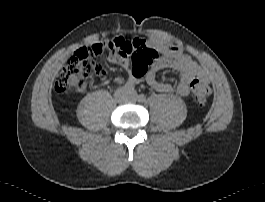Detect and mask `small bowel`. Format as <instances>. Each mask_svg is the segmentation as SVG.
<instances>
[{"label":"small bowel","instance_id":"obj_1","mask_svg":"<svg viewBox=\"0 0 265 202\" xmlns=\"http://www.w3.org/2000/svg\"><path fill=\"white\" fill-rule=\"evenodd\" d=\"M143 45V44H141ZM147 47L155 48L159 51V56L152 60L149 64V71L146 75L147 84L159 92H172L174 87L169 83H164L157 78L158 72L162 70H174L179 73L180 81L176 86V92L186 97L191 92V83L196 80L201 71L198 64L188 55L184 54L178 47L168 45L156 38H149ZM82 50H79L80 53ZM106 59L111 63L120 64L125 69L129 68V58L123 57L118 53H110L106 55ZM121 81V79H118ZM128 81L138 83L139 80L133 76L128 78Z\"/></svg>","mask_w":265,"mask_h":202}]
</instances>
